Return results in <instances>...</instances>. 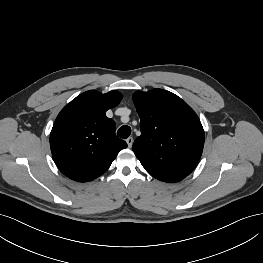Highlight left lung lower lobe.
<instances>
[{
	"mask_svg": "<svg viewBox=\"0 0 263 263\" xmlns=\"http://www.w3.org/2000/svg\"><path fill=\"white\" fill-rule=\"evenodd\" d=\"M186 176H187L186 174L177 171L175 169H167L160 176H158L157 179L161 181L173 183L184 179Z\"/></svg>",
	"mask_w": 263,
	"mask_h": 263,
	"instance_id": "1",
	"label": "left lung lower lobe"
}]
</instances>
